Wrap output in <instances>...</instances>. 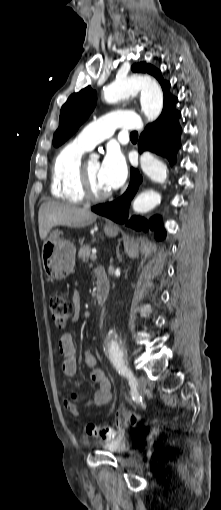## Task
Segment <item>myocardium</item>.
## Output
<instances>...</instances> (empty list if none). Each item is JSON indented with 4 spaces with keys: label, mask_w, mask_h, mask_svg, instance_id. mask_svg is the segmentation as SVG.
<instances>
[{
    "label": "myocardium",
    "mask_w": 221,
    "mask_h": 510,
    "mask_svg": "<svg viewBox=\"0 0 221 510\" xmlns=\"http://www.w3.org/2000/svg\"><path fill=\"white\" fill-rule=\"evenodd\" d=\"M79 187L83 200L87 202L99 203L107 200L112 196V192L110 191L102 194H97L93 191L86 168V163H81L80 166Z\"/></svg>",
    "instance_id": "obj_1"
}]
</instances>
